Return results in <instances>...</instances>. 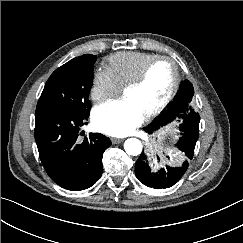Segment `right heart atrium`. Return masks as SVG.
Instances as JSON below:
<instances>
[{"label":"right heart atrium","instance_id":"1","mask_svg":"<svg viewBox=\"0 0 243 243\" xmlns=\"http://www.w3.org/2000/svg\"><path fill=\"white\" fill-rule=\"evenodd\" d=\"M121 91L114 77L105 68L97 69L92 76L90 97L96 104L115 98Z\"/></svg>","mask_w":243,"mask_h":243}]
</instances>
